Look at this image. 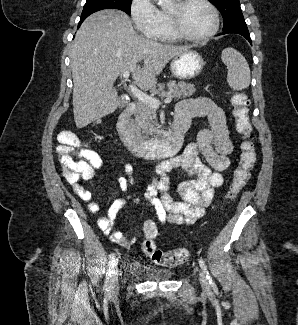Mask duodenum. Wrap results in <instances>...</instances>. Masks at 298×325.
I'll use <instances>...</instances> for the list:
<instances>
[{
  "label": "duodenum",
  "instance_id": "duodenum-1",
  "mask_svg": "<svg viewBox=\"0 0 298 325\" xmlns=\"http://www.w3.org/2000/svg\"><path fill=\"white\" fill-rule=\"evenodd\" d=\"M137 110L131 102L121 113L117 121V131L126 148L139 157L165 158L174 156L181 147L183 135L190 126L192 117L200 114L199 109L190 103H180L175 112L171 129L159 140L146 141L136 136L130 123Z\"/></svg>",
  "mask_w": 298,
  "mask_h": 325
}]
</instances>
